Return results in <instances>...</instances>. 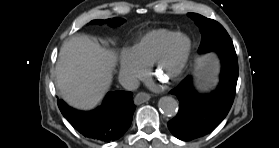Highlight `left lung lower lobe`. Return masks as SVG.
Here are the masks:
<instances>
[{
	"label": "left lung lower lobe",
	"mask_w": 279,
	"mask_h": 148,
	"mask_svg": "<svg viewBox=\"0 0 279 148\" xmlns=\"http://www.w3.org/2000/svg\"><path fill=\"white\" fill-rule=\"evenodd\" d=\"M222 70L217 89L210 94H198L187 76L171 94L179 100L178 114L168 122L171 133L183 141L193 140L212 132L227 116L236 93L238 61L234 46L215 51Z\"/></svg>",
	"instance_id": "left-lung-lower-lobe-1"
}]
</instances>
